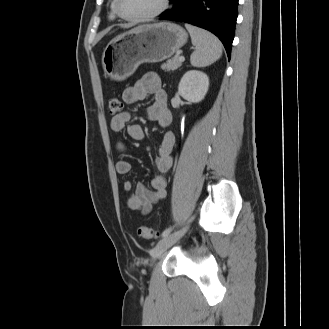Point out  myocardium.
Listing matches in <instances>:
<instances>
[{
	"label": "myocardium",
	"instance_id": "myocardium-1",
	"mask_svg": "<svg viewBox=\"0 0 329 329\" xmlns=\"http://www.w3.org/2000/svg\"><path fill=\"white\" fill-rule=\"evenodd\" d=\"M169 3H170V0H162L160 7L156 11H154L150 14H147V15L126 16L120 10V0H115V12L120 18H122L126 21L142 22V21L154 19V18L160 16L161 14H163L168 9Z\"/></svg>",
	"mask_w": 329,
	"mask_h": 329
}]
</instances>
